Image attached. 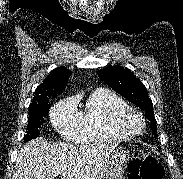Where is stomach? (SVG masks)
<instances>
[{
    "mask_svg": "<svg viewBox=\"0 0 183 179\" xmlns=\"http://www.w3.org/2000/svg\"><path fill=\"white\" fill-rule=\"evenodd\" d=\"M130 160V152L122 147L113 150L103 163L96 179H123L125 166Z\"/></svg>",
    "mask_w": 183,
    "mask_h": 179,
    "instance_id": "stomach-1",
    "label": "stomach"
}]
</instances>
